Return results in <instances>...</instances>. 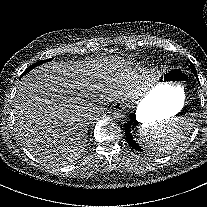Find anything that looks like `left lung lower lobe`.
Wrapping results in <instances>:
<instances>
[{
    "label": "left lung lower lobe",
    "instance_id": "left-lung-lower-lobe-1",
    "mask_svg": "<svg viewBox=\"0 0 207 207\" xmlns=\"http://www.w3.org/2000/svg\"><path fill=\"white\" fill-rule=\"evenodd\" d=\"M192 73L197 77V71L196 69L194 68L192 70ZM198 78V77H197ZM130 125H131V122H129L127 124V127H126V130H125V136H126V140H127V143L135 150H139V151H143L142 148L133 140L132 138V135L130 133Z\"/></svg>",
    "mask_w": 207,
    "mask_h": 207
}]
</instances>
